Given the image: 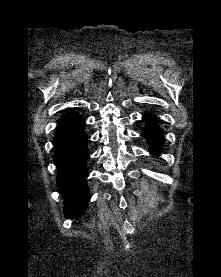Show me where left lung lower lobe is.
<instances>
[{
  "label": "left lung lower lobe",
  "mask_w": 221,
  "mask_h": 277,
  "mask_svg": "<svg viewBox=\"0 0 221 277\" xmlns=\"http://www.w3.org/2000/svg\"><path fill=\"white\" fill-rule=\"evenodd\" d=\"M143 120L147 122V126L142 131V136L150 144V153L158 155L163 143V134L157 124V119L152 115L143 116Z\"/></svg>",
  "instance_id": "1"
}]
</instances>
